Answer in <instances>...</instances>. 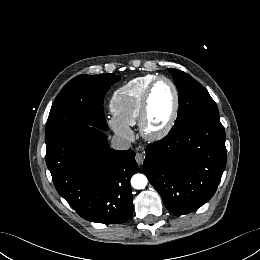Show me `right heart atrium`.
Segmentation results:
<instances>
[{"mask_svg": "<svg viewBox=\"0 0 260 260\" xmlns=\"http://www.w3.org/2000/svg\"><path fill=\"white\" fill-rule=\"evenodd\" d=\"M108 123L110 127L114 130V132L119 136L127 139L132 137V131L129 126L125 125L114 116L109 118Z\"/></svg>", "mask_w": 260, "mask_h": 260, "instance_id": "obj_1", "label": "right heart atrium"}]
</instances>
